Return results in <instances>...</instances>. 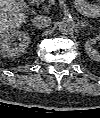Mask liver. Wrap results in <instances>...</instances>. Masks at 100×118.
Segmentation results:
<instances>
[{
	"label": "liver",
	"instance_id": "obj_1",
	"mask_svg": "<svg viewBox=\"0 0 100 118\" xmlns=\"http://www.w3.org/2000/svg\"><path fill=\"white\" fill-rule=\"evenodd\" d=\"M0 32L13 31L25 22V14L21 11V4L16 0H1L0 2Z\"/></svg>",
	"mask_w": 100,
	"mask_h": 118
}]
</instances>
